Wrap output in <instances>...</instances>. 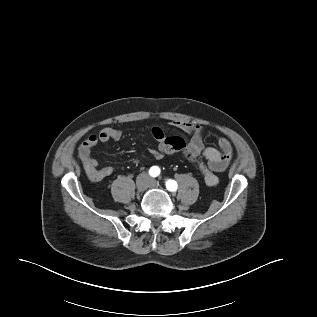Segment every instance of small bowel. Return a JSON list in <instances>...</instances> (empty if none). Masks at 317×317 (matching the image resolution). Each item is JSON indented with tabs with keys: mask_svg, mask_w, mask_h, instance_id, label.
<instances>
[{
	"mask_svg": "<svg viewBox=\"0 0 317 317\" xmlns=\"http://www.w3.org/2000/svg\"><path fill=\"white\" fill-rule=\"evenodd\" d=\"M172 127L179 129L189 135L187 143L180 137H175L181 141L180 151L185 152L191 158H199V169L202 173L204 182L208 186H215L219 182L218 172L224 171L231 159L233 149L227 138L221 137L218 140V148L205 147L203 142V128L196 124L187 123L180 120H172L169 123ZM152 136L160 141L157 149H152L151 154L156 159H161L165 154L175 152L174 150L166 151L163 147L165 134L162 128L154 126L151 128ZM122 131L104 127L96 134L90 135L79 147L80 160L93 181H100L114 173V167H99L98 161L92 156V150L99 142H108L110 140L118 141L122 138Z\"/></svg>",
	"mask_w": 317,
	"mask_h": 317,
	"instance_id": "obj_1",
	"label": "small bowel"
}]
</instances>
